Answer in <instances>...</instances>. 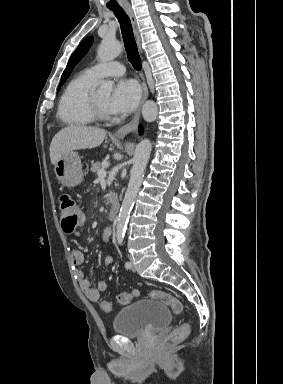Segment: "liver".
Instances as JSON below:
<instances>
[{
    "mask_svg": "<svg viewBox=\"0 0 283 384\" xmlns=\"http://www.w3.org/2000/svg\"><path fill=\"white\" fill-rule=\"evenodd\" d=\"M107 132L88 126H67L54 136L50 146V160L56 166L58 160L72 150L97 148L104 142Z\"/></svg>",
    "mask_w": 283,
    "mask_h": 384,
    "instance_id": "6515ba94",
    "label": "liver"
}]
</instances>
